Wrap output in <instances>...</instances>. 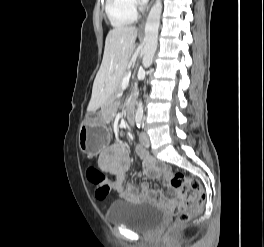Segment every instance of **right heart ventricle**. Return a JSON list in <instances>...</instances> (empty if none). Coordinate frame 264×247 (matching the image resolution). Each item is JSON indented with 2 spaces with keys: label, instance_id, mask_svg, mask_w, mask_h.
<instances>
[{
  "label": "right heart ventricle",
  "instance_id": "1",
  "mask_svg": "<svg viewBox=\"0 0 264 247\" xmlns=\"http://www.w3.org/2000/svg\"><path fill=\"white\" fill-rule=\"evenodd\" d=\"M106 14L115 27L132 24L137 19L136 10L130 8L126 0H106Z\"/></svg>",
  "mask_w": 264,
  "mask_h": 247
}]
</instances>
